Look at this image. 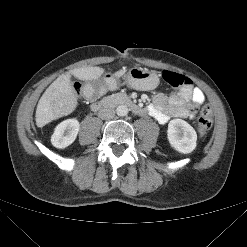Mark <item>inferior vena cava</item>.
I'll return each mask as SVG.
<instances>
[{
	"mask_svg": "<svg viewBox=\"0 0 247 247\" xmlns=\"http://www.w3.org/2000/svg\"><path fill=\"white\" fill-rule=\"evenodd\" d=\"M115 116V110L113 108H102L99 112H98V117L103 119V120H109L114 118Z\"/></svg>",
	"mask_w": 247,
	"mask_h": 247,
	"instance_id": "obj_1",
	"label": "inferior vena cava"
}]
</instances>
